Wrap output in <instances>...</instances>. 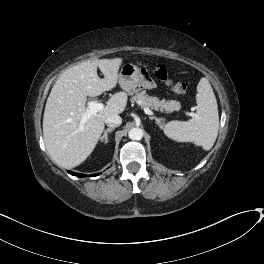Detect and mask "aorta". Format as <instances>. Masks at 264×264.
I'll return each mask as SVG.
<instances>
[{"label": "aorta", "mask_w": 264, "mask_h": 264, "mask_svg": "<svg viewBox=\"0 0 264 264\" xmlns=\"http://www.w3.org/2000/svg\"><path fill=\"white\" fill-rule=\"evenodd\" d=\"M143 130L141 128L135 127L130 129L128 136L131 140H140L143 137Z\"/></svg>", "instance_id": "762f6f07"}]
</instances>
